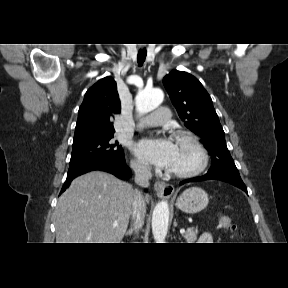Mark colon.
<instances>
[{
    "instance_id": "obj_1",
    "label": "colon",
    "mask_w": 288,
    "mask_h": 288,
    "mask_svg": "<svg viewBox=\"0 0 288 288\" xmlns=\"http://www.w3.org/2000/svg\"><path fill=\"white\" fill-rule=\"evenodd\" d=\"M219 226L225 230H229V231H234L235 230V226L232 223V220L229 216L227 215H222L219 218Z\"/></svg>"
}]
</instances>
